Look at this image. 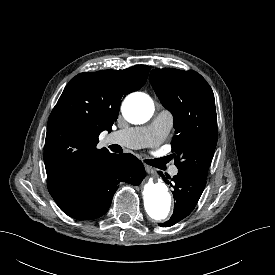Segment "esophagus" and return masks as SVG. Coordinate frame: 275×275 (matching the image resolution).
<instances>
[{"label": "esophagus", "instance_id": "1", "mask_svg": "<svg viewBox=\"0 0 275 275\" xmlns=\"http://www.w3.org/2000/svg\"><path fill=\"white\" fill-rule=\"evenodd\" d=\"M145 170L149 174H154L155 173V169L152 168V167H150V166H148V165H145Z\"/></svg>", "mask_w": 275, "mask_h": 275}]
</instances>
